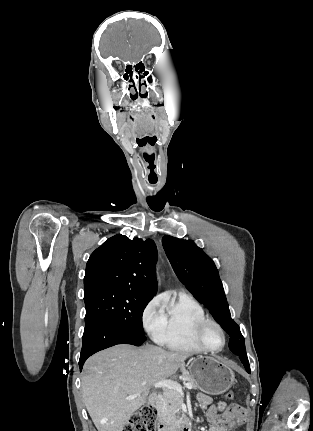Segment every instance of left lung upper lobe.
Here are the masks:
<instances>
[{"label": "left lung upper lobe", "instance_id": "5c2ea615", "mask_svg": "<svg viewBox=\"0 0 313 431\" xmlns=\"http://www.w3.org/2000/svg\"><path fill=\"white\" fill-rule=\"evenodd\" d=\"M166 255L180 281L212 313L230 335L229 348L250 372L244 337L231 319L228 303L214 262L193 241L169 235L162 238Z\"/></svg>", "mask_w": 313, "mask_h": 431}]
</instances>
